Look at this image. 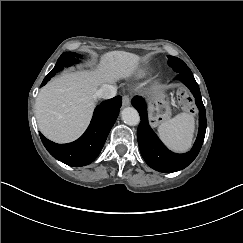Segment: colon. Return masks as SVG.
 Returning a JSON list of instances; mask_svg holds the SVG:
<instances>
[{
	"label": "colon",
	"mask_w": 243,
	"mask_h": 243,
	"mask_svg": "<svg viewBox=\"0 0 243 243\" xmlns=\"http://www.w3.org/2000/svg\"><path fill=\"white\" fill-rule=\"evenodd\" d=\"M178 100L181 107L186 111H192L191 98L189 94L185 91H180L178 93Z\"/></svg>",
	"instance_id": "5ec220e1"
}]
</instances>
